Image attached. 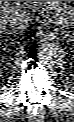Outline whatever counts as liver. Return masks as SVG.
<instances>
[{
	"mask_svg": "<svg viewBox=\"0 0 74 122\" xmlns=\"http://www.w3.org/2000/svg\"><path fill=\"white\" fill-rule=\"evenodd\" d=\"M20 12L19 9L11 8V9H3L1 7L0 13V28L4 29L6 24L8 23V19L14 15L15 13Z\"/></svg>",
	"mask_w": 74,
	"mask_h": 122,
	"instance_id": "1",
	"label": "liver"
}]
</instances>
